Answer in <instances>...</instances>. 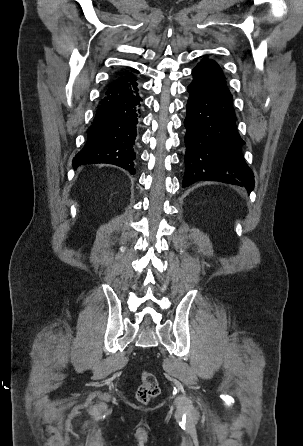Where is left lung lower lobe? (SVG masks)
<instances>
[{"label":"left lung lower lobe","mask_w":303,"mask_h":446,"mask_svg":"<svg viewBox=\"0 0 303 446\" xmlns=\"http://www.w3.org/2000/svg\"><path fill=\"white\" fill-rule=\"evenodd\" d=\"M187 90L185 174L187 187L219 181L253 190L254 175L242 155L245 143L236 128L232 95L219 65L207 56L192 70Z\"/></svg>","instance_id":"obj_1"}]
</instances>
